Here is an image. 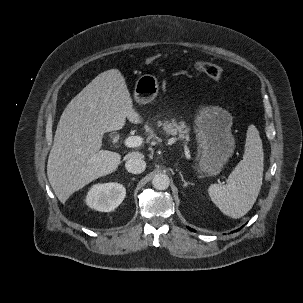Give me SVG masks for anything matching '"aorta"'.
<instances>
[{"label":"aorta","mask_w":303,"mask_h":303,"mask_svg":"<svg viewBox=\"0 0 303 303\" xmlns=\"http://www.w3.org/2000/svg\"><path fill=\"white\" fill-rule=\"evenodd\" d=\"M169 177L165 173H158L153 177L152 184L157 190H165L169 187Z\"/></svg>","instance_id":"762f6f07"}]
</instances>
